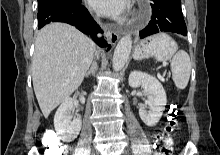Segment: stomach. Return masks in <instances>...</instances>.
<instances>
[{
    "label": "stomach",
    "instance_id": "obj_1",
    "mask_svg": "<svg viewBox=\"0 0 220 155\" xmlns=\"http://www.w3.org/2000/svg\"><path fill=\"white\" fill-rule=\"evenodd\" d=\"M177 43L166 33H158L142 41L135 50V58L155 57L158 61L169 60L177 51Z\"/></svg>",
    "mask_w": 220,
    "mask_h": 155
}]
</instances>
